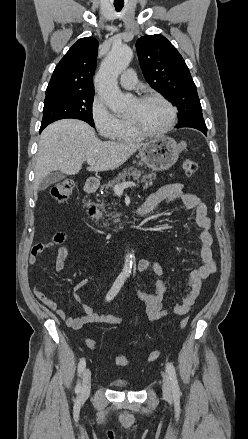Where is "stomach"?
Instances as JSON below:
<instances>
[{"mask_svg": "<svg viewBox=\"0 0 248 439\" xmlns=\"http://www.w3.org/2000/svg\"><path fill=\"white\" fill-rule=\"evenodd\" d=\"M183 147L174 139L159 137L147 142L140 149L141 161L154 171H164L172 167Z\"/></svg>", "mask_w": 248, "mask_h": 439, "instance_id": "0dacf381", "label": "stomach"}]
</instances>
